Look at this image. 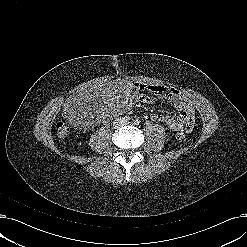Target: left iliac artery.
<instances>
[{
  "label": "left iliac artery",
  "instance_id": "44dca946",
  "mask_svg": "<svg viewBox=\"0 0 247 247\" xmlns=\"http://www.w3.org/2000/svg\"><path fill=\"white\" fill-rule=\"evenodd\" d=\"M134 123L135 125H139L140 121L136 120Z\"/></svg>",
  "mask_w": 247,
  "mask_h": 247
}]
</instances>
